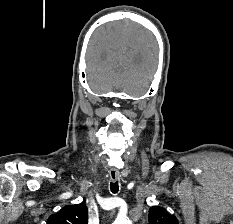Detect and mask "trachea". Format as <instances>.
Masks as SVG:
<instances>
[{
	"instance_id": "obj_1",
	"label": "trachea",
	"mask_w": 233,
	"mask_h": 224,
	"mask_svg": "<svg viewBox=\"0 0 233 224\" xmlns=\"http://www.w3.org/2000/svg\"><path fill=\"white\" fill-rule=\"evenodd\" d=\"M110 189L113 194H116L119 191V184L118 181L110 183Z\"/></svg>"
}]
</instances>
